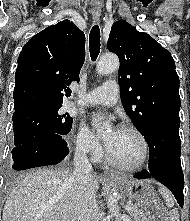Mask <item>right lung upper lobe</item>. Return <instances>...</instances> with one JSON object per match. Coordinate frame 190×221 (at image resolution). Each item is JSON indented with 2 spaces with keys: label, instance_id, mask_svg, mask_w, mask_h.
<instances>
[{
  "label": "right lung upper lobe",
  "instance_id": "obj_1",
  "mask_svg": "<svg viewBox=\"0 0 190 221\" xmlns=\"http://www.w3.org/2000/svg\"><path fill=\"white\" fill-rule=\"evenodd\" d=\"M85 35L64 20L34 35L22 48L15 73L14 113L36 105L62 104L67 85L79 81Z\"/></svg>",
  "mask_w": 190,
  "mask_h": 221
}]
</instances>
